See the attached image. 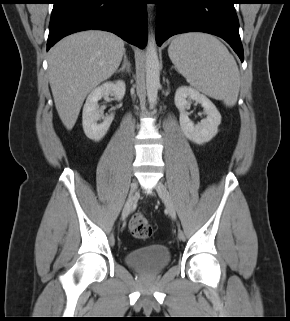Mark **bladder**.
I'll use <instances>...</instances> for the list:
<instances>
[{
    "mask_svg": "<svg viewBox=\"0 0 290 321\" xmlns=\"http://www.w3.org/2000/svg\"><path fill=\"white\" fill-rule=\"evenodd\" d=\"M171 258V251L157 244L134 249L124 255V260L130 268L145 274L161 271L170 263Z\"/></svg>",
    "mask_w": 290,
    "mask_h": 321,
    "instance_id": "1",
    "label": "bladder"
}]
</instances>
